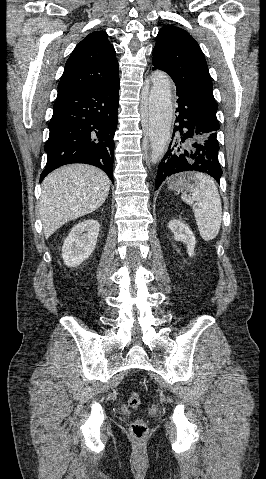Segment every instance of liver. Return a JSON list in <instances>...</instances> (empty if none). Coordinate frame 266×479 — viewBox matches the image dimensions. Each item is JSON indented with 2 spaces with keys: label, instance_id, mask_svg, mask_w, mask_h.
Returning a JSON list of instances; mask_svg holds the SVG:
<instances>
[{
  "label": "liver",
  "instance_id": "liver-1",
  "mask_svg": "<svg viewBox=\"0 0 266 479\" xmlns=\"http://www.w3.org/2000/svg\"><path fill=\"white\" fill-rule=\"evenodd\" d=\"M110 179L100 169L73 164L50 173L39 203L45 238L65 223L97 210L108 197Z\"/></svg>",
  "mask_w": 266,
  "mask_h": 479
}]
</instances>
